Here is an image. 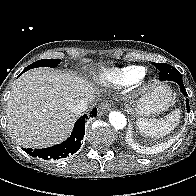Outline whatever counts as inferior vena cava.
I'll list each match as a JSON object with an SVG mask.
<instances>
[{
    "label": "inferior vena cava",
    "mask_w": 196,
    "mask_h": 196,
    "mask_svg": "<svg viewBox=\"0 0 196 196\" xmlns=\"http://www.w3.org/2000/svg\"><path fill=\"white\" fill-rule=\"evenodd\" d=\"M89 107V103L82 99H76L71 105V111L77 115L86 111Z\"/></svg>",
    "instance_id": "602c4592"
}]
</instances>
